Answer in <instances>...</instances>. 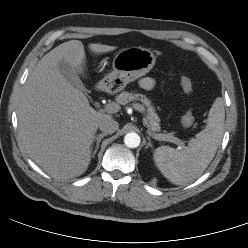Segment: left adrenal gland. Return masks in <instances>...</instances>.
I'll list each match as a JSON object with an SVG mask.
<instances>
[{"label":"left adrenal gland","instance_id":"1","mask_svg":"<svg viewBox=\"0 0 248 248\" xmlns=\"http://www.w3.org/2000/svg\"><path fill=\"white\" fill-rule=\"evenodd\" d=\"M147 140H148V143H147V145H146V147H145V148H149V147H151V148H152V144H151V140H150V138H149V137H147Z\"/></svg>","mask_w":248,"mask_h":248}]
</instances>
